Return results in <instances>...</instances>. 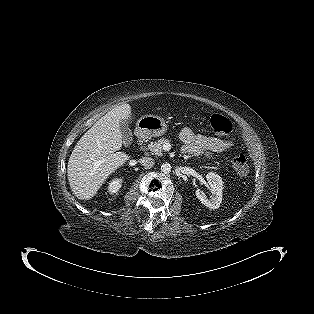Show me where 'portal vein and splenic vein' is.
<instances>
[{
  "label": "portal vein and splenic vein",
  "mask_w": 314,
  "mask_h": 314,
  "mask_svg": "<svg viewBox=\"0 0 314 314\" xmlns=\"http://www.w3.org/2000/svg\"><path fill=\"white\" fill-rule=\"evenodd\" d=\"M163 149L167 150V151L170 150V145L168 143L163 145ZM101 162H103V161H101Z\"/></svg>",
  "instance_id": "18ae733b"
}]
</instances>
